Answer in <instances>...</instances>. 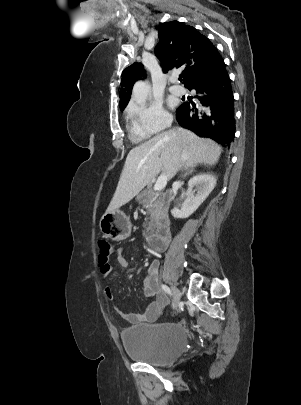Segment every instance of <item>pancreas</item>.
I'll list each match as a JSON object with an SVG mask.
<instances>
[{"label": "pancreas", "mask_w": 301, "mask_h": 405, "mask_svg": "<svg viewBox=\"0 0 301 405\" xmlns=\"http://www.w3.org/2000/svg\"><path fill=\"white\" fill-rule=\"evenodd\" d=\"M139 202L147 209L149 218L144 223L145 230L143 235H147L153 231L155 222L158 218L160 211L159 201L157 195L148 187L138 196Z\"/></svg>", "instance_id": "1"}]
</instances>
